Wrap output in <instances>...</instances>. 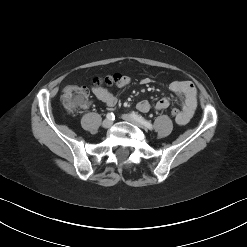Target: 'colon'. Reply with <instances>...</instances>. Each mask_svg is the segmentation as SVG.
I'll use <instances>...</instances> for the list:
<instances>
[{"label": "colon", "mask_w": 247, "mask_h": 247, "mask_svg": "<svg viewBox=\"0 0 247 247\" xmlns=\"http://www.w3.org/2000/svg\"><path fill=\"white\" fill-rule=\"evenodd\" d=\"M122 79L121 75H109L105 78H97L95 79V84L99 85H115L119 84ZM88 95L87 91L84 87L79 86H68L64 89L62 94V105L65 110L69 113H75L81 108H83L87 103ZM181 111L177 108H172L170 111L171 116L176 120Z\"/></svg>", "instance_id": "1"}]
</instances>
